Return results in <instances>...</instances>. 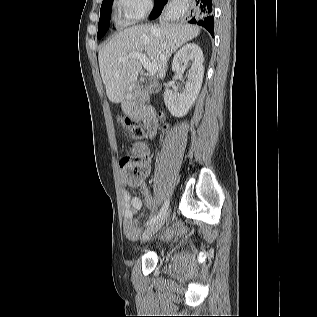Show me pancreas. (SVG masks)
<instances>
[{
  "mask_svg": "<svg viewBox=\"0 0 317 317\" xmlns=\"http://www.w3.org/2000/svg\"><path fill=\"white\" fill-rule=\"evenodd\" d=\"M140 103H141V99L137 98V100H135L134 102H131L129 105L134 107V108H137L140 105ZM134 112L136 113V111H134Z\"/></svg>",
  "mask_w": 317,
  "mask_h": 317,
  "instance_id": "obj_1",
  "label": "pancreas"
}]
</instances>
